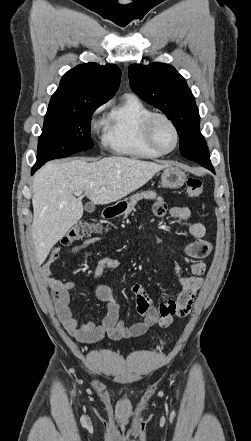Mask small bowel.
Here are the masks:
<instances>
[{"label": "small bowel", "instance_id": "small-bowel-1", "mask_svg": "<svg viewBox=\"0 0 251 441\" xmlns=\"http://www.w3.org/2000/svg\"><path fill=\"white\" fill-rule=\"evenodd\" d=\"M155 216L163 218L169 215L172 218L188 221L191 218V210L188 207H168L165 202L158 200L153 206ZM189 233L193 242L183 247V252L194 261L189 271L190 275H182L178 266L174 267L181 290L176 300H169L155 306L149 298L144 286L135 283L130 291L135 297L136 310L142 316V320L126 327L119 319V304L113 296L111 289L104 284L93 286L95 296L106 303V314L101 323L84 321L77 318L70 308V291L74 288V281H62L52 276L51 268L59 259V247H54L39 269V274L49 288L54 301L59 319L70 335L78 341L91 344L102 340L105 336L113 340L135 338L142 336L148 329L159 326L167 328L174 318H183L191 310L195 295L203 283V275L206 264L203 261L212 250L211 244L204 240L205 227L202 223L191 222ZM98 238L86 239L82 244L73 248V254L98 242ZM120 261L111 256L102 257L96 261L92 271V277L97 279L106 271L116 269Z\"/></svg>", "mask_w": 251, "mask_h": 441}]
</instances>
